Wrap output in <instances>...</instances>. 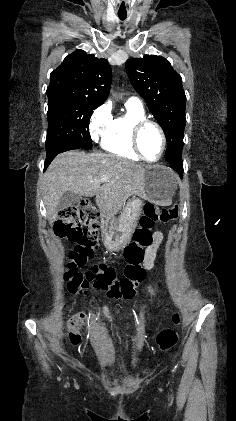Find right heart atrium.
I'll use <instances>...</instances> for the list:
<instances>
[{"label":"right heart atrium","mask_w":236,"mask_h":421,"mask_svg":"<svg viewBox=\"0 0 236 421\" xmlns=\"http://www.w3.org/2000/svg\"><path fill=\"white\" fill-rule=\"evenodd\" d=\"M110 121L111 113L107 105L100 106L92 113L89 121V133L93 142L99 140Z\"/></svg>","instance_id":"obj_1"}]
</instances>
